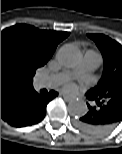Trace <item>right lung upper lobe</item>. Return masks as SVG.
Segmentation results:
<instances>
[{
	"label": "right lung upper lobe",
	"instance_id": "right-lung-upper-lobe-1",
	"mask_svg": "<svg viewBox=\"0 0 122 154\" xmlns=\"http://www.w3.org/2000/svg\"><path fill=\"white\" fill-rule=\"evenodd\" d=\"M70 33L39 30L31 25L17 24L1 32V98L7 94L32 85L30 78L12 68L6 61V50L13 51L36 68L45 65L57 45Z\"/></svg>",
	"mask_w": 122,
	"mask_h": 154
}]
</instances>
